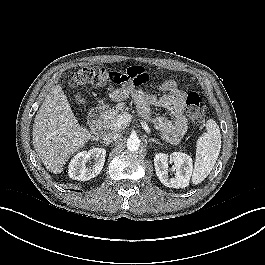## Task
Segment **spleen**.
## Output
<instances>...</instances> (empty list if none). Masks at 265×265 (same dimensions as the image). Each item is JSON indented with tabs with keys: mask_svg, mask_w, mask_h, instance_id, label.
Returning <instances> with one entry per match:
<instances>
[{
	"mask_svg": "<svg viewBox=\"0 0 265 265\" xmlns=\"http://www.w3.org/2000/svg\"><path fill=\"white\" fill-rule=\"evenodd\" d=\"M207 132L197 141L196 161L192 183H201L212 171L221 149V134L217 123L209 119L206 122Z\"/></svg>",
	"mask_w": 265,
	"mask_h": 265,
	"instance_id": "spleen-1",
	"label": "spleen"
}]
</instances>
